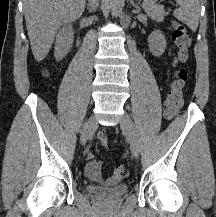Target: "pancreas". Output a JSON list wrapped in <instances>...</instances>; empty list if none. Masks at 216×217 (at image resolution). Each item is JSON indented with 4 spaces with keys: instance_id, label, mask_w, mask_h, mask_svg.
<instances>
[{
    "instance_id": "cf45deb5",
    "label": "pancreas",
    "mask_w": 216,
    "mask_h": 217,
    "mask_svg": "<svg viewBox=\"0 0 216 217\" xmlns=\"http://www.w3.org/2000/svg\"><path fill=\"white\" fill-rule=\"evenodd\" d=\"M157 0H144L143 8L147 15L158 22L163 21L167 13L162 5L156 4Z\"/></svg>"
}]
</instances>
